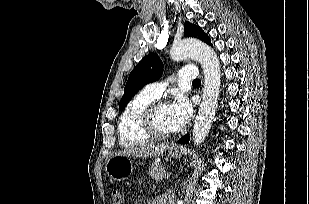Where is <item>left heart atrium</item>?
I'll return each instance as SVG.
<instances>
[{"mask_svg": "<svg viewBox=\"0 0 309 204\" xmlns=\"http://www.w3.org/2000/svg\"><path fill=\"white\" fill-rule=\"evenodd\" d=\"M169 110L175 130L184 127L192 115L191 103L184 95H177L169 105Z\"/></svg>", "mask_w": 309, "mask_h": 204, "instance_id": "1", "label": "left heart atrium"}]
</instances>
